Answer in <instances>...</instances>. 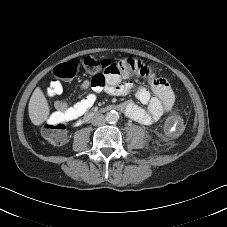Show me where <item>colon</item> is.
Here are the masks:
<instances>
[{"label":"colon","instance_id":"obj_1","mask_svg":"<svg viewBox=\"0 0 227 227\" xmlns=\"http://www.w3.org/2000/svg\"><path fill=\"white\" fill-rule=\"evenodd\" d=\"M82 63L86 70L92 74V81L95 85H102L105 82V74L118 76L122 73L136 70L137 68L147 69L138 62L128 60H111L87 55L83 58ZM80 66L78 59H71L66 63L60 64L53 69L54 80L52 85L60 88L62 80L72 78L76 75ZM67 115L62 114L60 119L52 121L44 128L43 135L50 141L58 142L65 138V127Z\"/></svg>","mask_w":227,"mask_h":227}]
</instances>
